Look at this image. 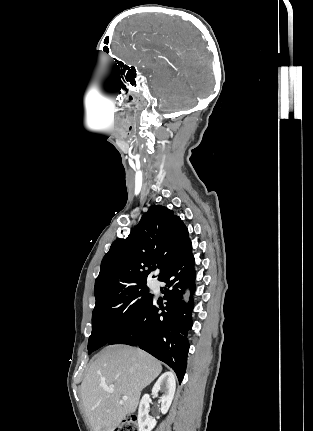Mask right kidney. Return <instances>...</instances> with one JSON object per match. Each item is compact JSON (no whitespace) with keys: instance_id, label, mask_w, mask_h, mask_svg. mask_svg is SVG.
Instances as JSON below:
<instances>
[{"instance_id":"right-kidney-1","label":"right kidney","mask_w":313,"mask_h":431,"mask_svg":"<svg viewBox=\"0 0 313 431\" xmlns=\"http://www.w3.org/2000/svg\"><path fill=\"white\" fill-rule=\"evenodd\" d=\"M175 389L176 380L174 374L171 372H165L162 374L153 386V396H158V392L160 391L164 393L159 399L162 414H166L168 412L174 398ZM149 402L150 396L145 394L140 401L138 409L139 431H152L156 426V420L149 416Z\"/></svg>"}]
</instances>
